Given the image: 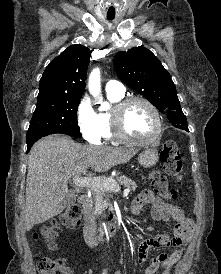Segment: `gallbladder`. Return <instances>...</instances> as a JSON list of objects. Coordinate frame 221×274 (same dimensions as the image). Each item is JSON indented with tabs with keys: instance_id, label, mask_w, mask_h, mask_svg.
<instances>
[{
	"instance_id": "obj_1",
	"label": "gallbladder",
	"mask_w": 221,
	"mask_h": 274,
	"mask_svg": "<svg viewBox=\"0 0 221 274\" xmlns=\"http://www.w3.org/2000/svg\"><path fill=\"white\" fill-rule=\"evenodd\" d=\"M75 201H76V197L74 193L70 192L66 195L63 204L65 207H70L75 203Z\"/></svg>"
}]
</instances>
